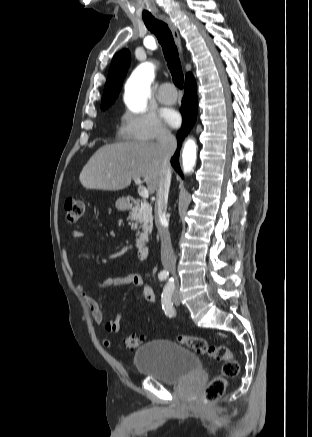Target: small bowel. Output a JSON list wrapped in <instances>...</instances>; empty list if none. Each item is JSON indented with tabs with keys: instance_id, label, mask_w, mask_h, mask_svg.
Wrapping results in <instances>:
<instances>
[{
	"instance_id": "obj_1",
	"label": "small bowel",
	"mask_w": 312,
	"mask_h": 437,
	"mask_svg": "<svg viewBox=\"0 0 312 437\" xmlns=\"http://www.w3.org/2000/svg\"><path fill=\"white\" fill-rule=\"evenodd\" d=\"M84 236V233L81 231H73L71 233V239H78ZM72 245V241H66L63 245V254H66L67 248ZM120 286H132L135 288H140L142 290V295L146 302L154 303L155 302V293L151 286L145 283L144 278L141 274H128L121 277H111L107 278L104 281L98 284V288H112V287H120ZM77 290L83 296L90 313L97 324H103L105 327V331L109 334H115L120 331L121 328V315L114 314L112 315L106 322H104L103 312L98 304V302L89 295L88 288L85 285L79 284L77 285ZM102 343L110 347L112 345L111 341L107 338L102 340Z\"/></svg>"
}]
</instances>
